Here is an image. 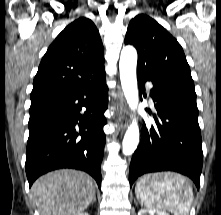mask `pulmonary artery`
Wrapping results in <instances>:
<instances>
[{"instance_id": "e3ab8cb5", "label": "pulmonary artery", "mask_w": 221, "mask_h": 215, "mask_svg": "<svg viewBox=\"0 0 221 215\" xmlns=\"http://www.w3.org/2000/svg\"><path fill=\"white\" fill-rule=\"evenodd\" d=\"M147 88H148V91H150V88H151V84L150 83H147Z\"/></svg>"}]
</instances>
